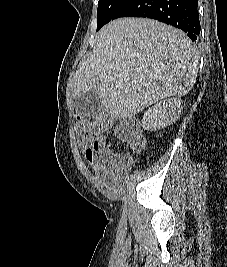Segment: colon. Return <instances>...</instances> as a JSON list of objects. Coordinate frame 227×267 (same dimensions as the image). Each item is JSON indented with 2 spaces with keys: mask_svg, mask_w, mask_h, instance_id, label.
<instances>
[{
  "mask_svg": "<svg viewBox=\"0 0 227 267\" xmlns=\"http://www.w3.org/2000/svg\"><path fill=\"white\" fill-rule=\"evenodd\" d=\"M114 118L107 111H100L92 118L79 115L76 129L82 137L92 138L96 143L102 135L113 127ZM118 136L126 142L131 149L137 151L144 146V136L139 128L130 121L121 124L117 129Z\"/></svg>",
  "mask_w": 227,
  "mask_h": 267,
  "instance_id": "obj_1",
  "label": "colon"
}]
</instances>
